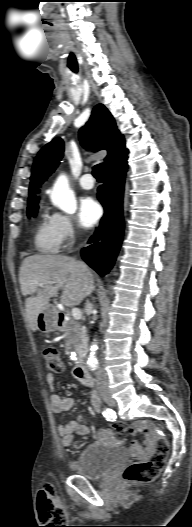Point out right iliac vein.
<instances>
[{"label":"right iliac vein","mask_w":192,"mask_h":527,"mask_svg":"<svg viewBox=\"0 0 192 527\" xmlns=\"http://www.w3.org/2000/svg\"><path fill=\"white\" fill-rule=\"evenodd\" d=\"M103 400L109 405V406H114L115 405V401L114 399L111 397V394L109 392H103L101 394Z\"/></svg>","instance_id":"63e3f726"}]
</instances>
